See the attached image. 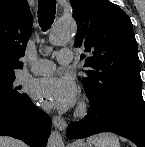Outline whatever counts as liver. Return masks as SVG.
<instances>
[{"label": "liver", "instance_id": "1", "mask_svg": "<svg viewBox=\"0 0 145 147\" xmlns=\"http://www.w3.org/2000/svg\"><path fill=\"white\" fill-rule=\"evenodd\" d=\"M0 147H26L25 144L19 140L11 137L0 136Z\"/></svg>", "mask_w": 145, "mask_h": 147}]
</instances>
